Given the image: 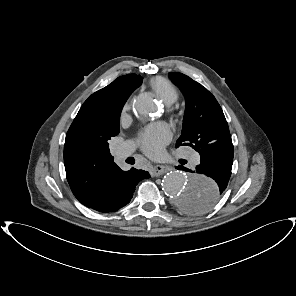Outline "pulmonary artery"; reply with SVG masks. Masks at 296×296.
<instances>
[{"instance_id":"pulmonary-artery-1","label":"pulmonary artery","mask_w":296,"mask_h":296,"mask_svg":"<svg viewBox=\"0 0 296 296\" xmlns=\"http://www.w3.org/2000/svg\"><path fill=\"white\" fill-rule=\"evenodd\" d=\"M134 150V144L132 142H125L117 147L115 150V157L118 161L124 160L128 157ZM189 158L193 164H197L200 161V156L198 154H191Z\"/></svg>"}]
</instances>
